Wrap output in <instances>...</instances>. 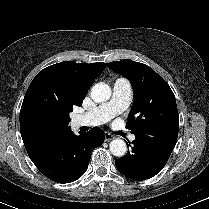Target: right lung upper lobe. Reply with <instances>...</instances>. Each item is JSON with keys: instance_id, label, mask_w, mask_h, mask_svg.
<instances>
[{"instance_id": "right-lung-upper-lobe-1", "label": "right lung upper lobe", "mask_w": 209, "mask_h": 209, "mask_svg": "<svg viewBox=\"0 0 209 209\" xmlns=\"http://www.w3.org/2000/svg\"><path fill=\"white\" fill-rule=\"evenodd\" d=\"M105 63H76L65 61L51 65L40 71L37 77L48 75L65 82L73 89L81 102L95 79L103 72ZM28 90L20 111V132L31 160L36 159L53 143L62 138L71 128L66 124H45L35 119L27 110Z\"/></svg>"}]
</instances>
